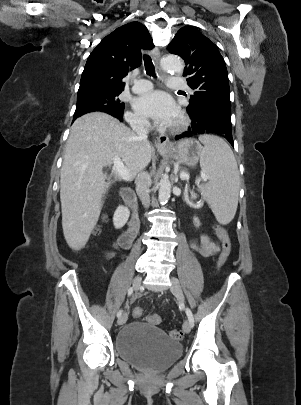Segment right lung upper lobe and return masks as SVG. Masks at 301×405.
Wrapping results in <instances>:
<instances>
[{"instance_id": "1", "label": "right lung upper lobe", "mask_w": 301, "mask_h": 405, "mask_svg": "<svg viewBox=\"0 0 301 405\" xmlns=\"http://www.w3.org/2000/svg\"><path fill=\"white\" fill-rule=\"evenodd\" d=\"M152 38L139 22L125 24L106 36L87 59L78 92L122 91V78L141 62V49H152Z\"/></svg>"}]
</instances>
